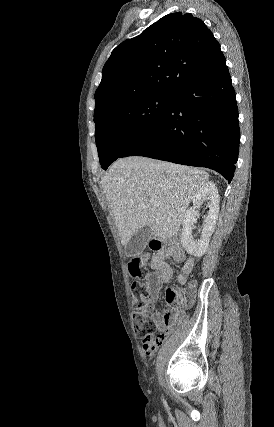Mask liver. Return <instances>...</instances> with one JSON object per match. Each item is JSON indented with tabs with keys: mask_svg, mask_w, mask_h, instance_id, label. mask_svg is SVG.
I'll return each instance as SVG.
<instances>
[{
	"mask_svg": "<svg viewBox=\"0 0 274 427\" xmlns=\"http://www.w3.org/2000/svg\"><path fill=\"white\" fill-rule=\"evenodd\" d=\"M204 170L150 158H120L101 178L122 245L150 225L160 241L176 235L198 188L208 182Z\"/></svg>",
	"mask_w": 274,
	"mask_h": 427,
	"instance_id": "obj_1",
	"label": "liver"
}]
</instances>
